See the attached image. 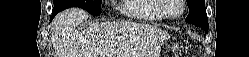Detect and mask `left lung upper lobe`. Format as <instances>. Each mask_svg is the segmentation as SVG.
Returning <instances> with one entry per match:
<instances>
[{"label": "left lung upper lobe", "mask_w": 249, "mask_h": 57, "mask_svg": "<svg viewBox=\"0 0 249 57\" xmlns=\"http://www.w3.org/2000/svg\"><path fill=\"white\" fill-rule=\"evenodd\" d=\"M187 5L189 7V15L186 18V22L198 26H208L205 0H187Z\"/></svg>", "instance_id": "5c2ea615"}]
</instances>
